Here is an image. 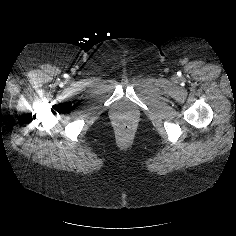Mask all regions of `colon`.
Here are the masks:
<instances>
[{
	"label": "colon",
	"mask_w": 236,
	"mask_h": 236,
	"mask_svg": "<svg viewBox=\"0 0 236 236\" xmlns=\"http://www.w3.org/2000/svg\"><path fill=\"white\" fill-rule=\"evenodd\" d=\"M130 129H131V126L129 124L125 123V124L122 125V131L123 132L127 133V132L130 131Z\"/></svg>",
	"instance_id": "obj_1"
}]
</instances>
